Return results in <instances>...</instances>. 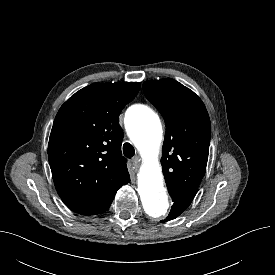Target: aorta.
I'll return each instance as SVG.
<instances>
[{"label": "aorta", "mask_w": 275, "mask_h": 275, "mask_svg": "<svg viewBox=\"0 0 275 275\" xmlns=\"http://www.w3.org/2000/svg\"><path fill=\"white\" fill-rule=\"evenodd\" d=\"M126 126L144 160L138 179V193L143 209L150 219L161 220L167 216L170 207L162 168L158 162L163 134L161 120L149 107L135 105L126 113Z\"/></svg>", "instance_id": "obj_1"}]
</instances>
